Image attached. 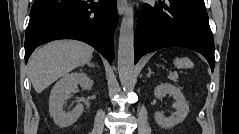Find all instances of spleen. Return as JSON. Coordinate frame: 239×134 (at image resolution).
<instances>
[{
  "mask_svg": "<svg viewBox=\"0 0 239 134\" xmlns=\"http://www.w3.org/2000/svg\"><path fill=\"white\" fill-rule=\"evenodd\" d=\"M173 63L177 68H193L194 67V63L187 57L175 58Z\"/></svg>",
  "mask_w": 239,
  "mask_h": 134,
  "instance_id": "3e777b00",
  "label": "spleen"
}]
</instances>
